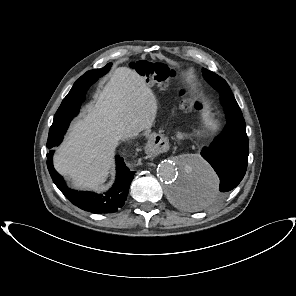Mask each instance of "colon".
I'll list each match as a JSON object with an SVG mask.
<instances>
[{"label":"colon","mask_w":296,"mask_h":296,"mask_svg":"<svg viewBox=\"0 0 296 296\" xmlns=\"http://www.w3.org/2000/svg\"><path fill=\"white\" fill-rule=\"evenodd\" d=\"M131 67L148 82L162 87H168L176 75L168 66L159 63L153 64L147 61H137L132 63ZM182 108L185 111L192 109L200 110L202 105L201 103H192L189 100H183Z\"/></svg>","instance_id":"colon-1"}]
</instances>
